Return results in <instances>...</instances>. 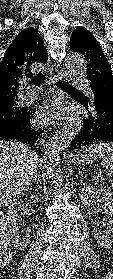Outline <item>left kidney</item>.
<instances>
[{
	"mask_svg": "<svg viewBox=\"0 0 113 279\" xmlns=\"http://www.w3.org/2000/svg\"><path fill=\"white\" fill-rule=\"evenodd\" d=\"M81 201L85 206H90L95 199L103 204L109 218L105 232L102 234L97 227L93 228L94 237L97 243L106 249L113 245V195L105 188H97L93 185H87L82 189Z\"/></svg>",
	"mask_w": 113,
	"mask_h": 279,
	"instance_id": "5707ae66",
	"label": "left kidney"
}]
</instances>
